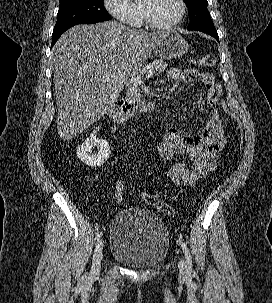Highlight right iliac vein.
Segmentation results:
<instances>
[{"mask_svg": "<svg viewBox=\"0 0 272 303\" xmlns=\"http://www.w3.org/2000/svg\"><path fill=\"white\" fill-rule=\"evenodd\" d=\"M103 248H104V241L101 239L96 244L93 254L92 266L89 274V279L91 280H94L99 276L101 269V261L103 259Z\"/></svg>", "mask_w": 272, "mask_h": 303, "instance_id": "63e3f726", "label": "right iliac vein"}]
</instances>
